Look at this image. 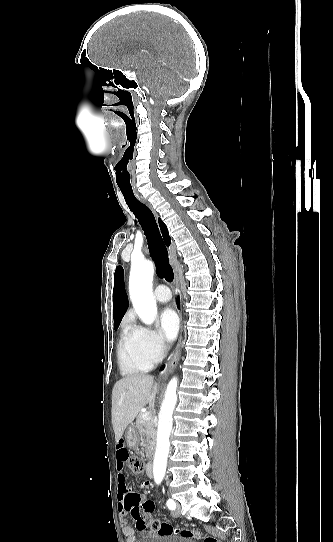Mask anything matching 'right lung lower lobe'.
I'll return each mask as SVG.
<instances>
[{
  "instance_id": "obj_1",
  "label": "right lung lower lobe",
  "mask_w": 333,
  "mask_h": 542,
  "mask_svg": "<svg viewBox=\"0 0 333 542\" xmlns=\"http://www.w3.org/2000/svg\"><path fill=\"white\" fill-rule=\"evenodd\" d=\"M177 304H178V307H179V304H180V303H179V299H177ZM163 368H164V366L162 367V369H163Z\"/></svg>"
}]
</instances>
